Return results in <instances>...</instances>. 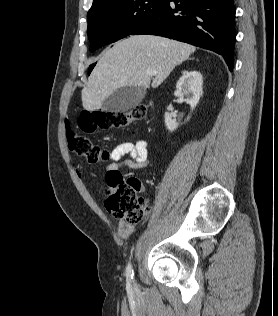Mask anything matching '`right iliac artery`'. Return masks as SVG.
<instances>
[{
	"mask_svg": "<svg viewBox=\"0 0 278 316\" xmlns=\"http://www.w3.org/2000/svg\"><path fill=\"white\" fill-rule=\"evenodd\" d=\"M126 276L129 280L134 279V271H133L131 263H129L127 268H126Z\"/></svg>",
	"mask_w": 278,
	"mask_h": 316,
	"instance_id": "right-iliac-artery-1",
	"label": "right iliac artery"
}]
</instances>
